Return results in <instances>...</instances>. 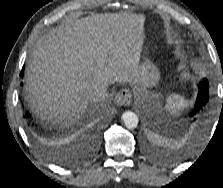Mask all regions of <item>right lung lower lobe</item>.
I'll list each match as a JSON object with an SVG mask.
<instances>
[{
  "mask_svg": "<svg viewBox=\"0 0 223 188\" xmlns=\"http://www.w3.org/2000/svg\"><path fill=\"white\" fill-rule=\"evenodd\" d=\"M20 76L23 77V70L21 71ZM29 116H30V115L28 114V112H26V117L28 118ZM28 127H29V132H30V134H31L33 137H35L36 140H39V142L43 143L45 146H46V145H53V143H51L48 139H45V138H44V139H40L39 136H41V134H39V133L36 131V129L34 128L33 125L28 124ZM97 143H98V139H97V137H96V136H93V137L91 138V141H90V146H91L92 148H95L96 145H97ZM62 160L65 161V158H62V157L57 158V162L62 161ZM73 160H74V159H73ZM59 163H60V162H59Z\"/></svg>",
  "mask_w": 223,
  "mask_h": 188,
  "instance_id": "1",
  "label": "right lung lower lobe"
}]
</instances>
